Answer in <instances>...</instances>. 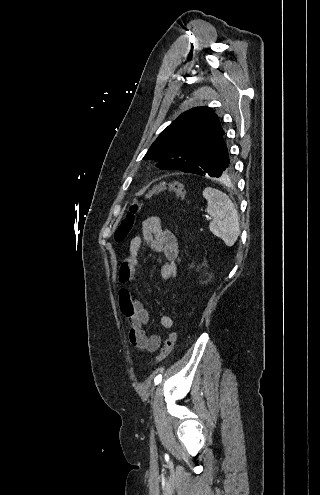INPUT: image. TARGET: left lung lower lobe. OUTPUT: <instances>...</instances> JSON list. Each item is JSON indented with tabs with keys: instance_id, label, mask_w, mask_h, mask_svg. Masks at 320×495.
Instances as JSON below:
<instances>
[{
	"instance_id": "1",
	"label": "left lung lower lobe",
	"mask_w": 320,
	"mask_h": 495,
	"mask_svg": "<svg viewBox=\"0 0 320 495\" xmlns=\"http://www.w3.org/2000/svg\"><path fill=\"white\" fill-rule=\"evenodd\" d=\"M234 171V162L228 152L224 135L201 158L183 172L201 176L226 178Z\"/></svg>"
}]
</instances>
